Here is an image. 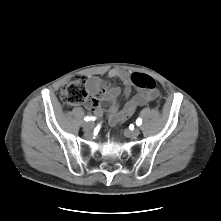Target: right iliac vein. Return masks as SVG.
<instances>
[{
    "mask_svg": "<svg viewBox=\"0 0 221 221\" xmlns=\"http://www.w3.org/2000/svg\"><path fill=\"white\" fill-rule=\"evenodd\" d=\"M93 128H94V124H93L92 122H87V123H85V124L83 125V129H84V131H86V132L92 131Z\"/></svg>",
    "mask_w": 221,
    "mask_h": 221,
    "instance_id": "right-iliac-vein-1",
    "label": "right iliac vein"
}]
</instances>
